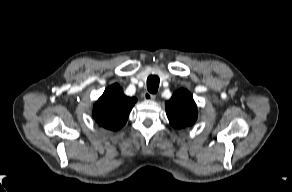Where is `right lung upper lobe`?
Returning a JSON list of instances; mask_svg holds the SVG:
<instances>
[{
  "instance_id": "right-lung-upper-lobe-1",
  "label": "right lung upper lobe",
  "mask_w": 292,
  "mask_h": 192,
  "mask_svg": "<svg viewBox=\"0 0 292 192\" xmlns=\"http://www.w3.org/2000/svg\"><path fill=\"white\" fill-rule=\"evenodd\" d=\"M136 98L127 97L118 84L109 86L95 103L92 115L102 127L119 130L125 125Z\"/></svg>"
}]
</instances>
